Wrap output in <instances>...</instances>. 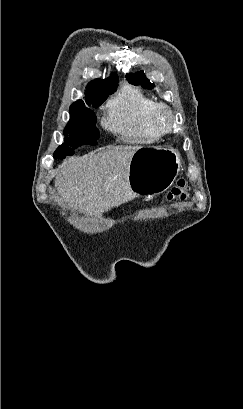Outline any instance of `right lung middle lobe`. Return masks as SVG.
<instances>
[{"instance_id":"obj_1","label":"right lung middle lobe","mask_w":243,"mask_h":409,"mask_svg":"<svg viewBox=\"0 0 243 409\" xmlns=\"http://www.w3.org/2000/svg\"><path fill=\"white\" fill-rule=\"evenodd\" d=\"M112 93L105 94L92 106L97 108ZM64 135L66 136L65 143L54 152V158L63 159L73 155L76 148L84 145H96L99 132L96 128L94 112L89 108L70 109V120L66 125Z\"/></svg>"}]
</instances>
